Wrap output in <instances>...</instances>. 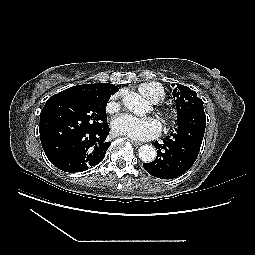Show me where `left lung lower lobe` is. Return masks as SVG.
<instances>
[{
	"label": "left lung lower lobe",
	"instance_id": "1",
	"mask_svg": "<svg viewBox=\"0 0 255 255\" xmlns=\"http://www.w3.org/2000/svg\"><path fill=\"white\" fill-rule=\"evenodd\" d=\"M206 126L205 114L196 120L175 128L163 143L154 142L158 149L157 158L151 163H144L145 170L161 179H172L184 174L194 164L204 137Z\"/></svg>",
	"mask_w": 255,
	"mask_h": 255
}]
</instances>
